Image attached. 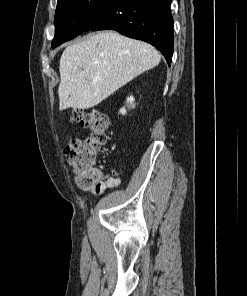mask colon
Wrapping results in <instances>:
<instances>
[{"mask_svg":"<svg viewBox=\"0 0 247 296\" xmlns=\"http://www.w3.org/2000/svg\"><path fill=\"white\" fill-rule=\"evenodd\" d=\"M72 121L89 130L85 138L73 139L65 149L77 185L82 189L99 186L103 172L96 165L98 154L107 142L108 120L98 111H75Z\"/></svg>","mask_w":247,"mask_h":296,"instance_id":"5ec220e1","label":"colon"}]
</instances>
